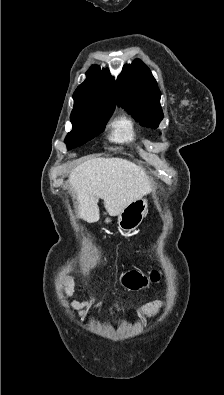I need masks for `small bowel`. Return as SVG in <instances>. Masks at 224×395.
Wrapping results in <instances>:
<instances>
[{
	"label": "small bowel",
	"instance_id": "1",
	"mask_svg": "<svg viewBox=\"0 0 224 395\" xmlns=\"http://www.w3.org/2000/svg\"><path fill=\"white\" fill-rule=\"evenodd\" d=\"M162 305L161 301H153L145 304L140 308V313L145 316H149L154 314ZM84 307H92L94 310L98 311L102 308L106 307L108 314L111 317H116L124 312V308L118 304H112L109 306H105L102 301L98 300L96 297H93L89 301L84 302H75L73 304V308L78 311V314L83 318H88V314L83 311Z\"/></svg>",
	"mask_w": 224,
	"mask_h": 395
}]
</instances>
